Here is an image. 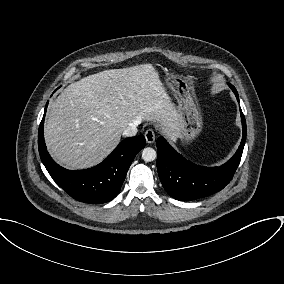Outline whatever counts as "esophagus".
Here are the masks:
<instances>
[{
    "label": "esophagus",
    "mask_w": 284,
    "mask_h": 284,
    "mask_svg": "<svg viewBox=\"0 0 284 284\" xmlns=\"http://www.w3.org/2000/svg\"><path fill=\"white\" fill-rule=\"evenodd\" d=\"M146 142L151 144L155 141V133L152 129H148L145 133H144Z\"/></svg>",
    "instance_id": "esophagus-1"
}]
</instances>
